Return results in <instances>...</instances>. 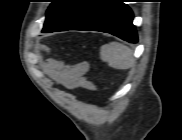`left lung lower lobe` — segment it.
Returning a JSON list of instances; mask_svg holds the SVG:
<instances>
[{"mask_svg": "<svg viewBox=\"0 0 182 140\" xmlns=\"http://www.w3.org/2000/svg\"><path fill=\"white\" fill-rule=\"evenodd\" d=\"M133 13L123 0H106L68 30L101 31L113 34L131 43H137L132 24Z\"/></svg>", "mask_w": 182, "mask_h": 140, "instance_id": "1", "label": "left lung lower lobe"}]
</instances>
